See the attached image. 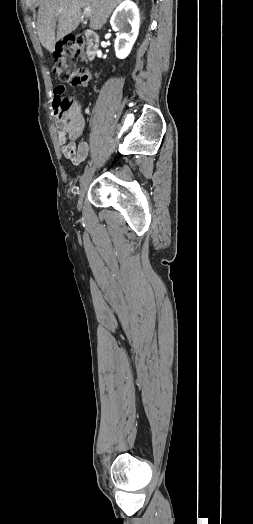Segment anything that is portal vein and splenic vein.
<instances>
[{"label": "portal vein and splenic vein", "instance_id": "portal-vein-and-splenic-vein-1", "mask_svg": "<svg viewBox=\"0 0 253 524\" xmlns=\"http://www.w3.org/2000/svg\"><path fill=\"white\" fill-rule=\"evenodd\" d=\"M83 14L86 17H90L91 16V8L90 7H84Z\"/></svg>", "mask_w": 253, "mask_h": 524}]
</instances>
